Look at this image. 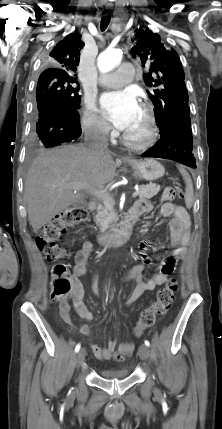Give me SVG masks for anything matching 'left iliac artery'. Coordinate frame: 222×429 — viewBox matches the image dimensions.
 <instances>
[{"instance_id": "44dca946", "label": "left iliac artery", "mask_w": 222, "mask_h": 429, "mask_svg": "<svg viewBox=\"0 0 222 429\" xmlns=\"http://www.w3.org/2000/svg\"><path fill=\"white\" fill-rule=\"evenodd\" d=\"M144 343H145L146 346H148V347L150 346V342L148 340H145Z\"/></svg>"}]
</instances>
